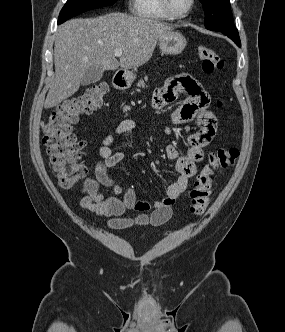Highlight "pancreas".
Here are the masks:
<instances>
[{
    "instance_id": "cf45deb5",
    "label": "pancreas",
    "mask_w": 285,
    "mask_h": 332,
    "mask_svg": "<svg viewBox=\"0 0 285 332\" xmlns=\"http://www.w3.org/2000/svg\"><path fill=\"white\" fill-rule=\"evenodd\" d=\"M138 87H145V83L143 80H140L137 84ZM139 91V90H137ZM129 110V107H124V111Z\"/></svg>"
}]
</instances>
